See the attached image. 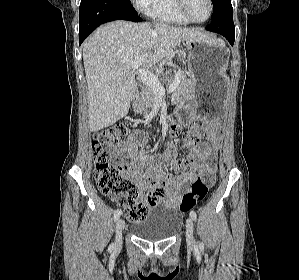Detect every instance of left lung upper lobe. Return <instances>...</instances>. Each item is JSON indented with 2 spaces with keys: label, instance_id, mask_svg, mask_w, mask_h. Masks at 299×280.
Segmentation results:
<instances>
[{
  "label": "left lung upper lobe",
  "instance_id": "1",
  "mask_svg": "<svg viewBox=\"0 0 299 280\" xmlns=\"http://www.w3.org/2000/svg\"><path fill=\"white\" fill-rule=\"evenodd\" d=\"M220 0H212V3H213V12L216 10V6H217V3L219 2Z\"/></svg>",
  "mask_w": 299,
  "mask_h": 280
}]
</instances>
